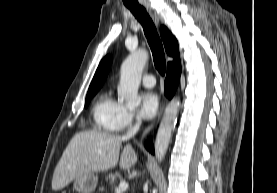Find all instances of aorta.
Returning a JSON list of instances; mask_svg holds the SVG:
<instances>
[{
  "mask_svg": "<svg viewBox=\"0 0 277 193\" xmlns=\"http://www.w3.org/2000/svg\"><path fill=\"white\" fill-rule=\"evenodd\" d=\"M148 60V52L143 49L130 54L122 63L118 96L127 107L134 108L140 104L138 88L141 82L142 71ZM180 100L174 98L168 104L162 117L155 140V155L161 162L166 154L172 131L177 121Z\"/></svg>",
  "mask_w": 277,
  "mask_h": 193,
  "instance_id": "obj_1",
  "label": "aorta"
}]
</instances>
